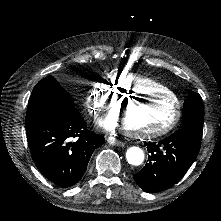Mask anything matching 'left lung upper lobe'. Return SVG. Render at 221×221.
Returning a JSON list of instances; mask_svg holds the SVG:
<instances>
[{"label":"left lung upper lobe","instance_id":"5c2ea615","mask_svg":"<svg viewBox=\"0 0 221 221\" xmlns=\"http://www.w3.org/2000/svg\"><path fill=\"white\" fill-rule=\"evenodd\" d=\"M204 105L202 98L195 92H190L183 107V127L203 133Z\"/></svg>","mask_w":221,"mask_h":221}]
</instances>
